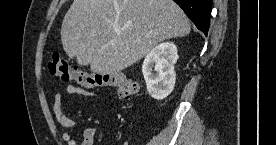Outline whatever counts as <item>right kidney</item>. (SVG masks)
I'll return each mask as SVG.
<instances>
[{
  "label": "right kidney",
  "mask_w": 276,
  "mask_h": 145,
  "mask_svg": "<svg viewBox=\"0 0 276 145\" xmlns=\"http://www.w3.org/2000/svg\"><path fill=\"white\" fill-rule=\"evenodd\" d=\"M177 47L172 42H164L154 47L145 57L142 73L149 94L156 100L166 98L174 89L177 62ZM154 68L155 74L152 73Z\"/></svg>",
  "instance_id": "obj_1"
}]
</instances>
